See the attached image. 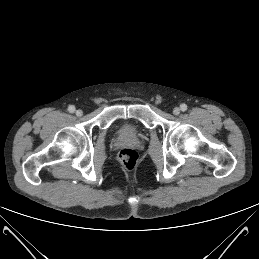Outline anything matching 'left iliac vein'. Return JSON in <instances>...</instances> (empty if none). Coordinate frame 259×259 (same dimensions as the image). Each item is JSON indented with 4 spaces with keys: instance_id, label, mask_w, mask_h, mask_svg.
Returning a JSON list of instances; mask_svg holds the SVG:
<instances>
[{
    "instance_id": "left-iliac-vein-1",
    "label": "left iliac vein",
    "mask_w": 259,
    "mask_h": 259,
    "mask_svg": "<svg viewBox=\"0 0 259 259\" xmlns=\"http://www.w3.org/2000/svg\"><path fill=\"white\" fill-rule=\"evenodd\" d=\"M180 113V109L178 107L173 109V114L178 115Z\"/></svg>"
}]
</instances>
